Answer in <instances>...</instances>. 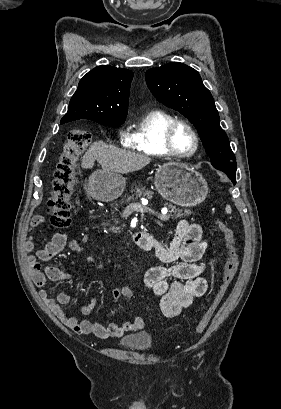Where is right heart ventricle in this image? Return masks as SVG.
Here are the masks:
<instances>
[{"mask_svg": "<svg viewBox=\"0 0 281 409\" xmlns=\"http://www.w3.org/2000/svg\"><path fill=\"white\" fill-rule=\"evenodd\" d=\"M178 118L162 109H154L144 114L133 126L125 142L133 153L147 158L171 157L165 147L168 126Z\"/></svg>", "mask_w": 281, "mask_h": 409, "instance_id": "obj_1", "label": "right heart ventricle"}]
</instances>
